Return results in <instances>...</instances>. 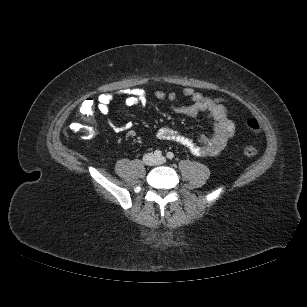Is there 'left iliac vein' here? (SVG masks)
I'll list each match as a JSON object with an SVG mask.
<instances>
[{
    "label": "left iliac vein",
    "mask_w": 307,
    "mask_h": 307,
    "mask_svg": "<svg viewBox=\"0 0 307 307\" xmlns=\"http://www.w3.org/2000/svg\"><path fill=\"white\" fill-rule=\"evenodd\" d=\"M156 162H157L158 164H163V163L166 162V158H165V157H160V158L156 159Z\"/></svg>",
    "instance_id": "1"
}]
</instances>
